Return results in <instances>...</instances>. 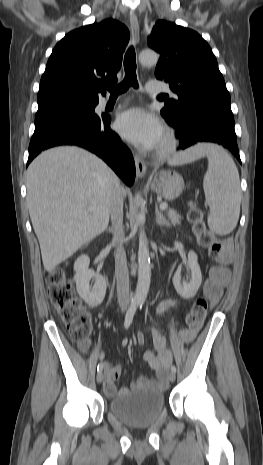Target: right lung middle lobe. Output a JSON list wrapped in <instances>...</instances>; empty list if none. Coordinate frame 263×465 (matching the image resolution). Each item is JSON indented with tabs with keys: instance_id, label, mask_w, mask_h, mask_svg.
<instances>
[{
	"instance_id": "1",
	"label": "right lung middle lobe",
	"mask_w": 263,
	"mask_h": 465,
	"mask_svg": "<svg viewBox=\"0 0 263 465\" xmlns=\"http://www.w3.org/2000/svg\"><path fill=\"white\" fill-rule=\"evenodd\" d=\"M97 99L62 96L38 101L36 118L54 112H75L84 115H94Z\"/></svg>"
}]
</instances>
